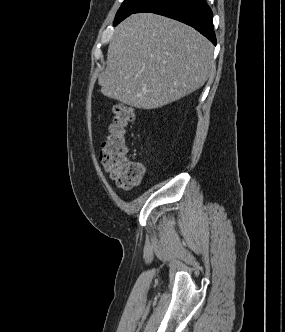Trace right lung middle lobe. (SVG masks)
I'll use <instances>...</instances> for the list:
<instances>
[{
    "label": "right lung middle lobe",
    "mask_w": 285,
    "mask_h": 332,
    "mask_svg": "<svg viewBox=\"0 0 285 332\" xmlns=\"http://www.w3.org/2000/svg\"><path fill=\"white\" fill-rule=\"evenodd\" d=\"M147 1L148 0H124L115 16L114 25L120 23Z\"/></svg>",
    "instance_id": "obj_1"
}]
</instances>
